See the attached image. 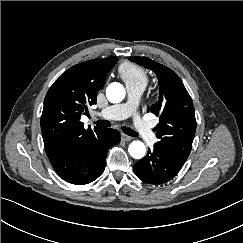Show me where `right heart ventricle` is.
I'll list each match as a JSON object with an SVG mask.
<instances>
[{"mask_svg": "<svg viewBox=\"0 0 243 243\" xmlns=\"http://www.w3.org/2000/svg\"><path fill=\"white\" fill-rule=\"evenodd\" d=\"M119 73L126 85H141L145 87L148 82L147 72L141 66L132 62L121 64Z\"/></svg>", "mask_w": 243, "mask_h": 243, "instance_id": "1", "label": "right heart ventricle"}]
</instances>
